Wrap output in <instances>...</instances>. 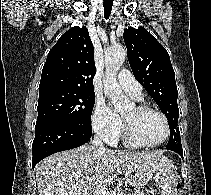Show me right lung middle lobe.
I'll return each instance as SVG.
<instances>
[{"label":"right lung middle lobe","instance_id":"right-lung-middle-lobe-1","mask_svg":"<svg viewBox=\"0 0 211 195\" xmlns=\"http://www.w3.org/2000/svg\"><path fill=\"white\" fill-rule=\"evenodd\" d=\"M94 103V92L71 89L39 92L36 128L54 122L91 126Z\"/></svg>","mask_w":211,"mask_h":195}]
</instances>
